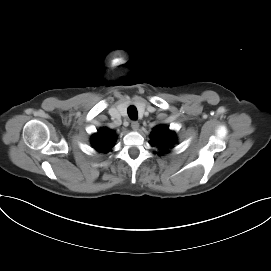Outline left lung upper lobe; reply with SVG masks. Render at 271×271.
<instances>
[{
	"instance_id": "5c2ea615",
	"label": "left lung upper lobe",
	"mask_w": 271,
	"mask_h": 271,
	"mask_svg": "<svg viewBox=\"0 0 271 271\" xmlns=\"http://www.w3.org/2000/svg\"><path fill=\"white\" fill-rule=\"evenodd\" d=\"M150 144L161 149V154L167 153L169 148L177 142L176 135L169 127L164 125L156 126L150 135Z\"/></svg>"
}]
</instances>
